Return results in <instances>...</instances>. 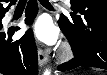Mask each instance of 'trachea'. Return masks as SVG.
<instances>
[{
	"label": "trachea",
	"mask_w": 107,
	"mask_h": 75,
	"mask_svg": "<svg viewBox=\"0 0 107 75\" xmlns=\"http://www.w3.org/2000/svg\"><path fill=\"white\" fill-rule=\"evenodd\" d=\"M40 3L46 7V8H52V5L49 3L48 0H39ZM23 4H26V0H20L18 5H23Z\"/></svg>",
	"instance_id": "1"
}]
</instances>
